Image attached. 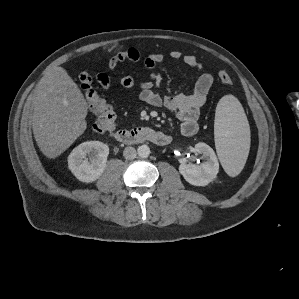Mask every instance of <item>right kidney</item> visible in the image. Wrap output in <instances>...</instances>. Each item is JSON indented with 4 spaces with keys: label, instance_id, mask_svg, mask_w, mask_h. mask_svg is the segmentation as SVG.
<instances>
[{
    "label": "right kidney",
    "instance_id": "obj_1",
    "mask_svg": "<svg viewBox=\"0 0 299 299\" xmlns=\"http://www.w3.org/2000/svg\"><path fill=\"white\" fill-rule=\"evenodd\" d=\"M109 147L100 141H87L75 147L68 156V167L81 182L96 181L103 173Z\"/></svg>",
    "mask_w": 299,
    "mask_h": 299
}]
</instances>
